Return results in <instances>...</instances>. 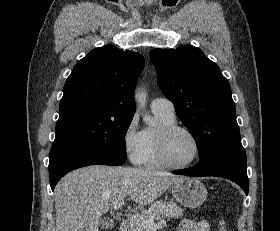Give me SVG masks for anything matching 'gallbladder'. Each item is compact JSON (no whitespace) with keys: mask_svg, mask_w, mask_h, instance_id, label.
Returning <instances> with one entry per match:
<instances>
[{"mask_svg":"<svg viewBox=\"0 0 280 231\" xmlns=\"http://www.w3.org/2000/svg\"><path fill=\"white\" fill-rule=\"evenodd\" d=\"M100 225L102 229H112L114 227L115 223L111 217H102L100 221Z\"/></svg>","mask_w":280,"mask_h":231,"instance_id":"1","label":"gallbladder"}]
</instances>
